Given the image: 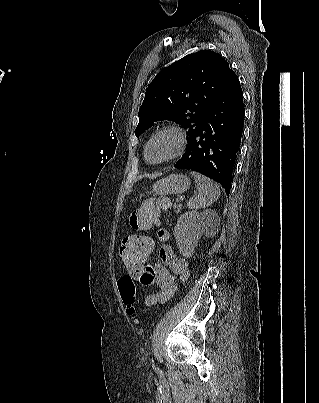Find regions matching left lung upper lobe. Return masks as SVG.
I'll list each match as a JSON object with an SVG mask.
<instances>
[{"instance_id": "1", "label": "left lung upper lobe", "mask_w": 319, "mask_h": 403, "mask_svg": "<svg viewBox=\"0 0 319 403\" xmlns=\"http://www.w3.org/2000/svg\"><path fill=\"white\" fill-rule=\"evenodd\" d=\"M231 69L218 53L202 50L163 69L148 86L139 109V136L155 121L172 120L188 129V143Z\"/></svg>"}]
</instances>
